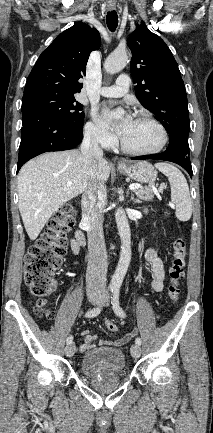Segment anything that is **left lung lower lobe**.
Wrapping results in <instances>:
<instances>
[{
	"label": "left lung lower lobe",
	"mask_w": 213,
	"mask_h": 433,
	"mask_svg": "<svg viewBox=\"0 0 213 433\" xmlns=\"http://www.w3.org/2000/svg\"><path fill=\"white\" fill-rule=\"evenodd\" d=\"M145 159H157L174 162L182 166L192 177V166L189 158V148L180 144H170L166 151L156 155L150 156H138L132 158V160H145Z\"/></svg>",
	"instance_id": "left-lung-lower-lobe-1"
}]
</instances>
